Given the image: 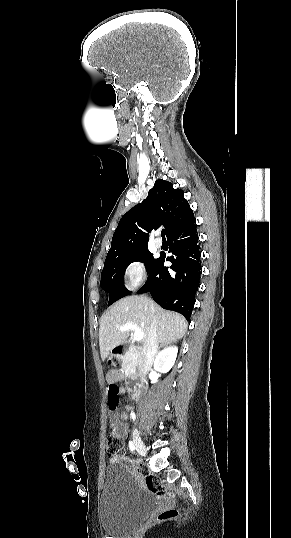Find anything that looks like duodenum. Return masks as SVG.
I'll list each match as a JSON object with an SVG mask.
<instances>
[{
	"instance_id": "duodenum-1",
	"label": "duodenum",
	"mask_w": 291,
	"mask_h": 538,
	"mask_svg": "<svg viewBox=\"0 0 291 538\" xmlns=\"http://www.w3.org/2000/svg\"><path fill=\"white\" fill-rule=\"evenodd\" d=\"M114 353L117 356H123L126 353H130L133 357L141 361L140 368H136V373H141V371L142 372L145 371L142 352L138 347L128 348L125 346H120L115 349ZM144 360H148V357H144ZM125 381L127 382L126 386H127L128 395L132 398L137 397L140 393L139 381L136 380L135 377L132 376V373H127V377L125 378ZM142 391H145V388H142Z\"/></svg>"
}]
</instances>
